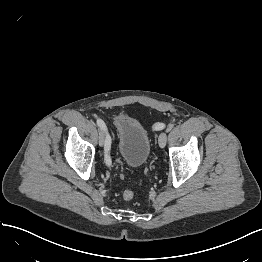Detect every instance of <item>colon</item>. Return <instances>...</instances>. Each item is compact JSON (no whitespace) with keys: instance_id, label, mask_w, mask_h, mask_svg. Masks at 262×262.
<instances>
[{"instance_id":"1","label":"colon","mask_w":262,"mask_h":262,"mask_svg":"<svg viewBox=\"0 0 262 262\" xmlns=\"http://www.w3.org/2000/svg\"><path fill=\"white\" fill-rule=\"evenodd\" d=\"M124 200H132L134 197V193L131 190H125L122 194Z\"/></svg>"}]
</instances>
